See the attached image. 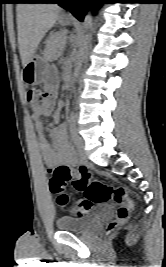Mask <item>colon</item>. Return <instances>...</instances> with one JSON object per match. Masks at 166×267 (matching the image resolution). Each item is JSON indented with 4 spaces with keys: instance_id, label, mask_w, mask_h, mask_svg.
I'll return each instance as SVG.
<instances>
[{
    "instance_id": "5ec220e1",
    "label": "colon",
    "mask_w": 166,
    "mask_h": 267,
    "mask_svg": "<svg viewBox=\"0 0 166 267\" xmlns=\"http://www.w3.org/2000/svg\"><path fill=\"white\" fill-rule=\"evenodd\" d=\"M28 101L34 113L50 109L53 101V94L38 88L28 92ZM72 182L74 187L84 193V198L76 202L70 209L77 216L88 214L93 205L110 200L119 204L116 219L112 221L107 232H112L119 225L125 223L132 215L134 202L129 197L128 191L123 186L107 185L99 180L93 179L86 166L78 167V174L68 166H57L53 170V176L49 181L50 191L57 195V203L60 207L69 208L68 197L64 193L67 183Z\"/></svg>"
}]
</instances>
